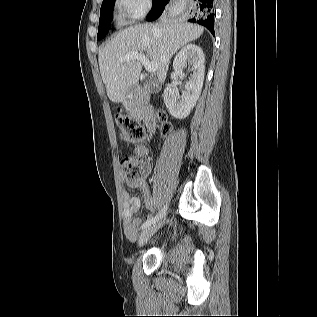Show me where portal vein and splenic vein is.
<instances>
[{
	"label": "portal vein and splenic vein",
	"instance_id": "portal-vein-and-splenic-vein-1",
	"mask_svg": "<svg viewBox=\"0 0 317 317\" xmlns=\"http://www.w3.org/2000/svg\"><path fill=\"white\" fill-rule=\"evenodd\" d=\"M121 61L138 60L147 71L155 73L157 70V63L154 61H149V59L139 52H129L124 57L120 58Z\"/></svg>",
	"mask_w": 317,
	"mask_h": 317
}]
</instances>
